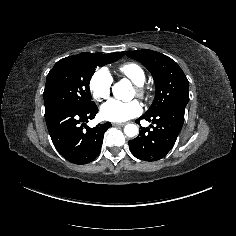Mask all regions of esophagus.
Instances as JSON below:
<instances>
[{
  "label": "esophagus",
  "instance_id": "34e87169",
  "mask_svg": "<svg viewBox=\"0 0 236 236\" xmlns=\"http://www.w3.org/2000/svg\"><path fill=\"white\" fill-rule=\"evenodd\" d=\"M126 123H112L113 126H124Z\"/></svg>",
  "mask_w": 236,
  "mask_h": 236
}]
</instances>
